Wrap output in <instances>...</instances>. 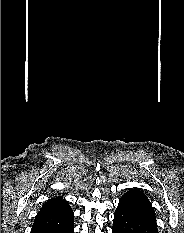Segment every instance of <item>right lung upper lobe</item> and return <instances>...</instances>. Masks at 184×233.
<instances>
[{"mask_svg":"<svg viewBox=\"0 0 184 233\" xmlns=\"http://www.w3.org/2000/svg\"><path fill=\"white\" fill-rule=\"evenodd\" d=\"M62 204H68V202L66 200H63L62 197L52 198L43 205L41 210L49 209L53 206L62 205Z\"/></svg>","mask_w":184,"mask_h":233,"instance_id":"right-lung-upper-lobe-1","label":"right lung upper lobe"}]
</instances>
